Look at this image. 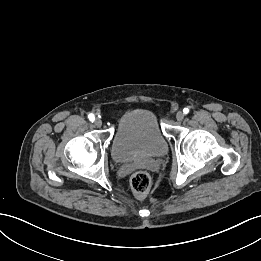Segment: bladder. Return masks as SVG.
<instances>
[{
	"label": "bladder",
	"mask_w": 261,
	"mask_h": 261,
	"mask_svg": "<svg viewBox=\"0 0 261 261\" xmlns=\"http://www.w3.org/2000/svg\"><path fill=\"white\" fill-rule=\"evenodd\" d=\"M168 150V142L158 118L148 109H133L118 121L111 142V157L127 162L139 157H157Z\"/></svg>",
	"instance_id": "1"
}]
</instances>
